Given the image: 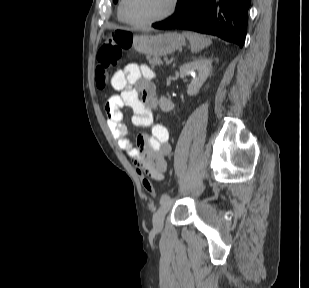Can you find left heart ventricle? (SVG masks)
Instances as JSON below:
<instances>
[{
	"label": "left heart ventricle",
	"instance_id": "b2bd125f",
	"mask_svg": "<svg viewBox=\"0 0 309 288\" xmlns=\"http://www.w3.org/2000/svg\"><path fill=\"white\" fill-rule=\"evenodd\" d=\"M170 0H126L125 14L136 22L146 21L165 13Z\"/></svg>",
	"mask_w": 309,
	"mask_h": 288
}]
</instances>
